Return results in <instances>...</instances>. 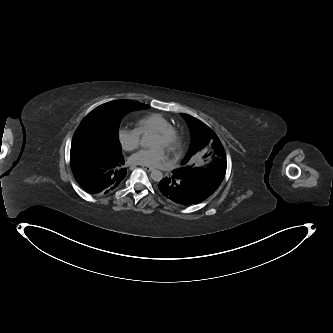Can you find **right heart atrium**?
Returning <instances> with one entry per match:
<instances>
[{"instance_id": "d8ad5b80", "label": "right heart atrium", "mask_w": 333, "mask_h": 333, "mask_svg": "<svg viewBox=\"0 0 333 333\" xmlns=\"http://www.w3.org/2000/svg\"><path fill=\"white\" fill-rule=\"evenodd\" d=\"M118 140L125 151L131 152L139 147L141 134L136 128L121 127L118 131Z\"/></svg>"}]
</instances>
